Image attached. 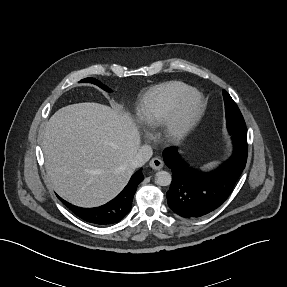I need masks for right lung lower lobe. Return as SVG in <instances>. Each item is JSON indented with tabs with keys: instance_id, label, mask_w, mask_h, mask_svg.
<instances>
[{
	"instance_id": "obj_1",
	"label": "right lung lower lobe",
	"mask_w": 287,
	"mask_h": 287,
	"mask_svg": "<svg viewBox=\"0 0 287 287\" xmlns=\"http://www.w3.org/2000/svg\"><path fill=\"white\" fill-rule=\"evenodd\" d=\"M143 179L140 169L132 175L129 183L117 197L96 208L77 207L58 198L79 218L97 225H110L121 221L129 213L137 186Z\"/></svg>"
}]
</instances>
